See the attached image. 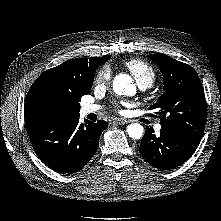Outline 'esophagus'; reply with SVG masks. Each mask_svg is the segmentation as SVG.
I'll list each match as a JSON object with an SVG mask.
<instances>
[{
    "instance_id": "obj_1",
    "label": "esophagus",
    "mask_w": 221,
    "mask_h": 221,
    "mask_svg": "<svg viewBox=\"0 0 221 221\" xmlns=\"http://www.w3.org/2000/svg\"><path fill=\"white\" fill-rule=\"evenodd\" d=\"M128 121L127 120H123V119H115L112 121L113 125H124L127 124Z\"/></svg>"
}]
</instances>
